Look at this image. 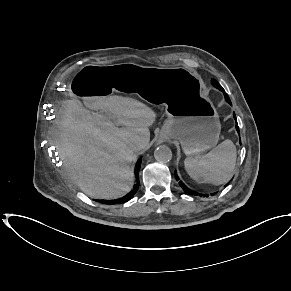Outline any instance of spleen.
Returning <instances> with one entry per match:
<instances>
[{
    "label": "spleen",
    "mask_w": 291,
    "mask_h": 291,
    "mask_svg": "<svg viewBox=\"0 0 291 291\" xmlns=\"http://www.w3.org/2000/svg\"><path fill=\"white\" fill-rule=\"evenodd\" d=\"M236 157V147L227 139L205 155L187 157L184 165L189 176L198 183L220 185L232 177Z\"/></svg>",
    "instance_id": "3e777b00"
}]
</instances>
